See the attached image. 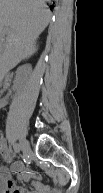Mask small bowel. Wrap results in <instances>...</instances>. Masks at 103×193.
Instances as JSON below:
<instances>
[{"instance_id": "small-bowel-1", "label": "small bowel", "mask_w": 103, "mask_h": 193, "mask_svg": "<svg viewBox=\"0 0 103 193\" xmlns=\"http://www.w3.org/2000/svg\"><path fill=\"white\" fill-rule=\"evenodd\" d=\"M0 153L6 162L11 163L10 168L2 167L0 173L1 193H14L19 188L13 181V175H16L18 181L22 183L33 182L35 189L24 191V193H61L60 188H53L50 185L40 183V175L36 171L27 168L22 162H13V156L9 151L4 139L0 141Z\"/></svg>"}]
</instances>
